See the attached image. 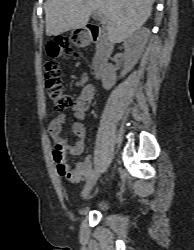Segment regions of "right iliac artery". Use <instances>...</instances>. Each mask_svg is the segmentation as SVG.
I'll return each mask as SVG.
<instances>
[{
	"label": "right iliac artery",
	"mask_w": 194,
	"mask_h": 250,
	"mask_svg": "<svg viewBox=\"0 0 194 250\" xmlns=\"http://www.w3.org/2000/svg\"><path fill=\"white\" fill-rule=\"evenodd\" d=\"M92 173H93V169L90 168V170L87 172L85 178H86V179H89V177L92 175Z\"/></svg>",
	"instance_id": "1"
}]
</instances>
